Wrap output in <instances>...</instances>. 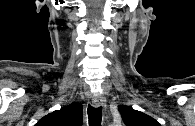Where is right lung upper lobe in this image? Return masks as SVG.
I'll list each match as a JSON object with an SVG mask.
<instances>
[{
    "label": "right lung upper lobe",
    "mask_w": 195,
    "mask_h": 126,
    "mask_svg": "<svg viewBox=\"0 0 195 126\" xmlns=\"http://www.w3.org/2000/svg\"><path fill=\"white\" fill-rule=\"evenodd\" d=\"M82 105L78 102L49 113L41 118L35 126H81Z\"/></svg>",
    "instance_id": "right-lung-upper-lobe-1"
}]
</instances>
